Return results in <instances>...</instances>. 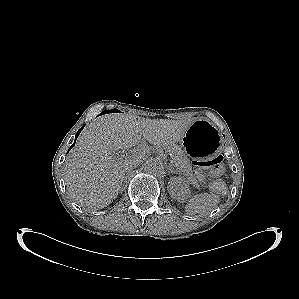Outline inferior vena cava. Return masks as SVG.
Masks as SVG:
<instances>
[{"instance_id":"inferior-vena-cava-1","label":"inferior vena cava","mask_w":299,"mask_h":299,"mask_svg":"<svg viewBox=\"0 0 299 299\" xmlns=\"http://www.w3.org/2000/svg\"><path fill=\"white\" fill-rule=\"evenodd\" d=\"M139 165V161L138 160H134L130 163L129 165V169L128 170H132L135 169L137 166Z\"/></svg>"}]
</instances>
